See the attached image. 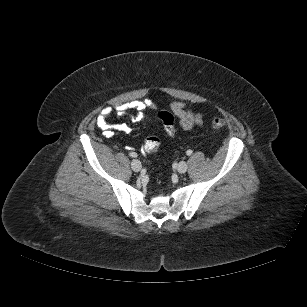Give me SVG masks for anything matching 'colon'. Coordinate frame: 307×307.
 Listing matches in <instances>:
<instances>
[{"label": "colon", "instance_id": "5ec220e1", "mask_svg": "<svg viewBox=\"0 0 307 307\" xmlns=\"http://www.w3.org/2000/svg\"><path fill=\"white\" fill-rule=\"evenodd\" d=\"M157 118L162 122L166 132L169 135L175 133V125L173 115L167 111H160L157 113ZM211 125L214 129H221L226 125L224 118L215 117L211 121ZM160 140L156 136H148L144 142V149L146 152H156L159 149Z\"/></svg>", "mask_w": 307, "mask_h": 307}]
</instances>
